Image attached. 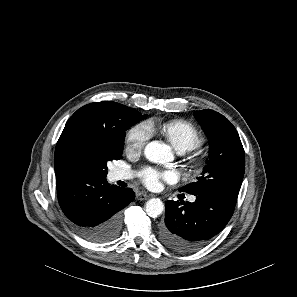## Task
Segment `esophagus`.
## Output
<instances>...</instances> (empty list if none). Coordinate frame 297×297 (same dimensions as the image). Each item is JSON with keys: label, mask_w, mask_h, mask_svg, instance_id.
Wrapping results in <instances>:
<instances>
[{"label": "esophagus", "mask_w": 297, "mask_h": 297, "mask_svg": "<svg viewBox=\"0 0 297 297\" xmlns=\"http://www.w3.org/2000/svg\"><path fill=\"white\" fill-rule=\"evenodd\" d=\"M149 198H150V195L143 193V192H139L136 194V199L140 200V201L147 200Z\"/></svg>", "instance_id": "obj_1"}]
</instances>
